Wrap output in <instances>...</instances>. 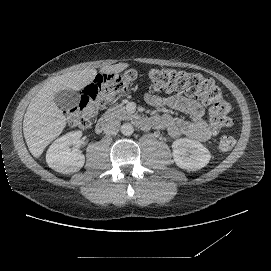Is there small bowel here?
Instances as JSON below:
<instances>
[{
	"label": "small bowel",
	"mask_w": 271,
	"mask_h": 271,
	"mask_svg": "<svg viewBox=\"0 0 271 271\" xmlns=\"http://www.w3.org/2000/svg\"><path fill=\"white\" fill-rule=\"evenodd\" d=\"M145 100L153 107L168 106L188 116L182 119L165 114L153 119L154 125L166 130L171 137L186 136L199 141H207L212 137L213 133L203 118L205 108L199 101L181 95L161 97L154 93H148Z\"/></svg>",
	"instance_id": "obj_1"
}]
</instances>
